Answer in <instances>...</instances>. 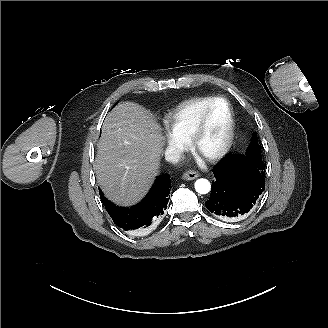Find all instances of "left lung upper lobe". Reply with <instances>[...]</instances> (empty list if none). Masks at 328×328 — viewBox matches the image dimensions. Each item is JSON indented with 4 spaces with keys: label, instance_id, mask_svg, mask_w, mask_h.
Returning <instances> with one entry per match:
<instances>
[{
    "label": "left lung upper lobe",
    "instance_id": "1",
    "mask_svg": "<svg viewBox=\"0 0 328 328\" xmlns=\"http://www.w3.org/2000/svg\"><path fill=\"white\" fill-rule=\"evenodd\" d=\"M259 146L258 141H257V136L254 135L253 139L247 149L246 154L252 153L257 147Z\"/></svg>",
    "mask_w": 328,
    "mask_h": 328
}]
</instances>
